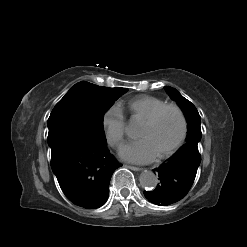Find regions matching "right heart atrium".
I'll use <instances>...</instances> for the list:
<instances>
[{
  "instance_id": "d8ad5b80",
  "label": "right heart atrium",
  "mask_w": 247,
  "mask_h": 247,
  "mask_svg": "<svg viewBox=\"0 0 247 247\" xmlns=\"http://www.w3.org/2000/svg\"><path fill=\"white\" fill-rule=\"evenodd\" d=\"M102 129L107 143L113 147H118L126 133V122L122 110L113 105L109 107L102 117Z\"/></svg>"
}]
</instances>
